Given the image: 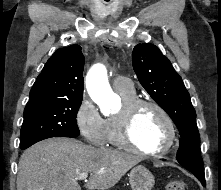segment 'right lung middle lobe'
I'll use <instances>...</instances> for the list:
<instances>
[{
    "label": "right lung middle lobe",
    "mask_w": 221,
    "mask_h": 190,
    "mask_svg": "<svg viewBox=\"0 0 221 190\" xmlns=\"http://www.w3.org/2000/svg\"><path fill=\"white\" fill-rule=\"evenodd\" d=\"M81 101L43 102L26 105L21 128L22 150L51 137L80 135L76 117Z\"/></svg>",
    "instance_id": "obj_1"
}]
</instances>
